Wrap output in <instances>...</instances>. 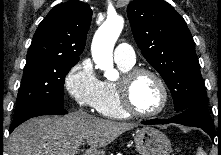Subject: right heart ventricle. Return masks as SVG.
I'll return each instance as SVG.
<instances>
[{"mask_svg": "<svg viewBox=\"0 0 221 155\" xmlns=\"http://www.w3.org/2000/svg\"><path fill=\"white\" fill-rule=\"evenodd\" d=\"M119 69L125 73L133 68V65L117 63ZM98 113L114 119H125L129 115L122 109L118 97L117 82L110 80L101 81L100 95L95 107Z\"/></svg>", "mask_w": 221, "mask_h": 155, "instance_id": "1", "label": "right heart ventricle"}]
</instances>
